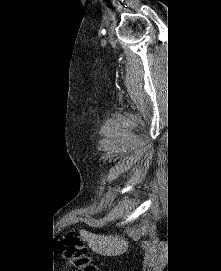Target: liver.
<instances>
[{
	"label": "liver",
	"instance_id": "1",
	"mask_svg": "<svg viewBox=\"0 0 221 271\" xmlns=\"http://www.w3.org/2000/svg\"><path fill=\"white\" fill-rule=\"evenodd\" d=\"M83 241H88L89 247L101 255H122L129 245L124 235H98L90 231H81Z\"/></svg>",
	"mask_w": 221,
	"mask_h": 271
}]
</instances>
